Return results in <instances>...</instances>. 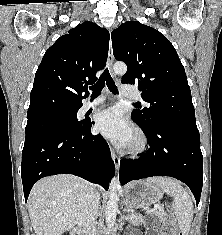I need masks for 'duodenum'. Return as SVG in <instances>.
Listing matches in <instances>:
<instances>
[{"mask_svg": "<svg viewBox=\"0 0 222 235\" xmlns=\"http://www.w3.org/2000/svg\"><path fill=\"white\" fill-rule=\"evenodd\" d=\"M71 235H83L81 227L77 226L72 232Z\"/></svg>", "mask_w": 222, "mask_h": 235, "instance_id": "1", "label": "duodenum"}]
</instances>
